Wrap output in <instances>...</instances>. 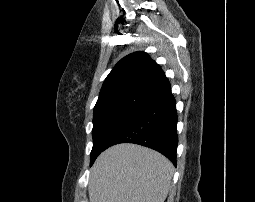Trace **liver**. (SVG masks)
<instances>
[{"label":"liver","instance_id":"liver-1","mask_svg":"<svg viewBox=\"0 0 255 202\" xmlns=\"http://www.w3.org/2000/svg\"><path fill=\"white\" fill-rule=\"evenodd\" d=\"M174 166L152 149L123 143L95 161L89 180L90 202H164Z\"/></svg>","mask_w":255,"mask_h":202}]
</instances>
